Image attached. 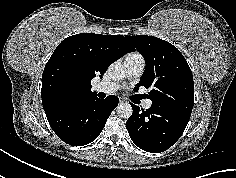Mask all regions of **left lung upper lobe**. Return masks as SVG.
I'll return each mask as SVG.
<instances>
[{
    "mask_svg": "<svg viewBox=\"0 0 236 178\" xmlns=\"http://www.w3.org/2000/svg\"><path fill=\"white\" fill-rule=\"evenodd\" d=\"M127 39L145 58L146 68L138 86L150 89L147 96L152 104L191 114L194 101L193 76L178 49L153 36H127Z\"/></svg>",
    "mask_w": 236,
    "mask_h": 178,
    "instance_id": "left-lung-upper-lobe-1",
    "label": "left lung upper lobe"
}]
</instances>
